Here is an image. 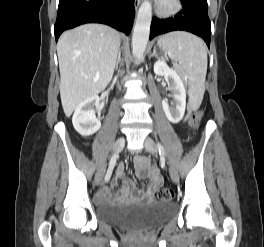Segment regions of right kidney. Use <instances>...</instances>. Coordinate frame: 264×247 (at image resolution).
<instances>
[{
	"instance_id": "obj_1",
	"label": "right kidney",
	"mask_w": 264,
	"mask_h": 247,
	"mask_svg": "<svg viewBox=\"0 0 264 247\" xmlns=\"http://www.w3.org/2000/svg\"><path fill=\"white\" fill-rule=\"evenodd\" d=\"M99 103L98 96L82 101L75 109L72 123L75 130L82 136H90L101 128V122L95 116L93 106Z\"/></svg>"
}]
</instances>
